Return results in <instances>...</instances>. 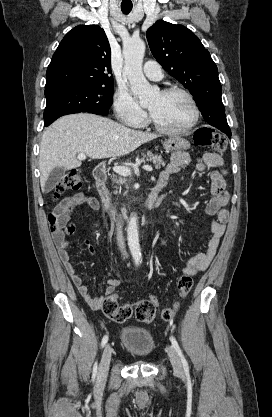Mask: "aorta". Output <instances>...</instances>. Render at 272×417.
Returning a JSON list of instances; mask_svg holds the SVG:
<instances>
[{"label": "aorta", "mask_w": 272, "mask_h": 417, "mask_svg": "<svg viewBox=\"0 0 272 417\" xmlns=\"http://www.w3.org/2000/svg\"><path fill=\"white\" fill-rule=\"evenodd\" d=\"M145 43L141 39H130L124 43V71L128 77L132 93L139 98L141 106H147L157 96L159 89L149 84L142 71ZM128 246L135 261L141 260L137 216L130 217L127 228Z\"/></svg>", "instance_id": "1"}]
</instances>
